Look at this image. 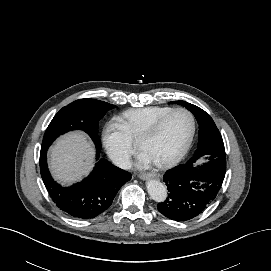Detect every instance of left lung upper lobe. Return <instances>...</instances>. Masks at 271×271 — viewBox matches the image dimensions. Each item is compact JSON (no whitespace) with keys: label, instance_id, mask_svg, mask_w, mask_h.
Instances as JSON below:
<instances>
[{"label":"left lung upper lobe","instance_id":"1","mask_svg":"<svg viewBox=\"0 0 271 271\" xmlns=\"http://www.w3.org/2000/svg\"><path fill=\"white\" fill-rule=\"evenodd\" d=\"M191 111L199 123V142L194 156L187 163L194 164L197 160H208L203 168L226 172V155L222 137L213 119L201 108L185 101H172Z\"/></svg>","mask_w":271,"mask_h":271}]
</instances>
